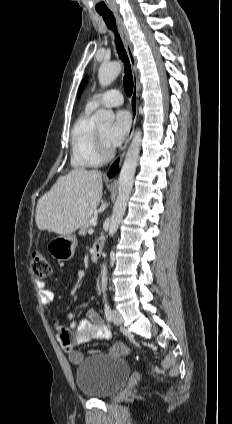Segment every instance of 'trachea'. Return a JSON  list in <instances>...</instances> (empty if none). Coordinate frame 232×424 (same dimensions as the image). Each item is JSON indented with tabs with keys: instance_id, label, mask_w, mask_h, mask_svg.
Returning <instances> with one entry per match:
<instances>
[{
	"instance_id": "3493384b",
	"label": "trachea",
	"mask_w": 232,
	"mask_h": 424,
	"mask_svg": "<svg viewBox=\"0 0 232 424\" xmlns=\"http://www.w3.org/2000/svg\"><path fill=\"white\" fill-rule=\"evenodd\" d=\"M99 14L103 17L108 28L113 30L116 33L115 41H116L117 51L119 53L121 60L124 62V65H125V75L123 79L124 89L126 94L128 96H131L133 92V85H134L131 67H130L129 59L124 49L123 43L116 32V25H115L113 14L111 12H100Z\"/></svg>"
}]
</instances>
